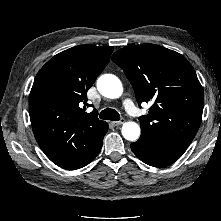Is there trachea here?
<instances>
[{"label":"trachea","mask_w":221,"mask_h":221,"mask_svg":"<svg viewBox=\"0 0 221 221\" xmlns=\"http://www.w3.org/2000/svg\"><path fill=\"white\" fill-rule=\"evenodd\" d=\"M99 117L104 120H112V121L120 120L119 113L111 108H106L103 111H101Z\"/></svg>","instance_id":"3493384b"}]
</instances>
